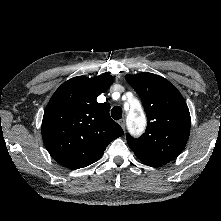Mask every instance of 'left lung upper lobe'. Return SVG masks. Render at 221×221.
Wrapping results in <instances>:
<instances>
[{
    "label": "left lung upper lobe",
    "instance_id": "obj_1",
    "mask_svg": "<svg viewBox=\"0 0 221 221\" xmlns=\"http://www.w3.org/2000/svg\"><path fill=\"white\" fill-rule=\"evenodd\" d=\"M142 100L148 124L138 139L127 135L129 147L140 161L162 166L184 149L190 133V113L179 91L165 78L152 73L126 75Z\"/></svg>",
    "mask_w": 221,
    "mask_h": 221
}]
</instances>
